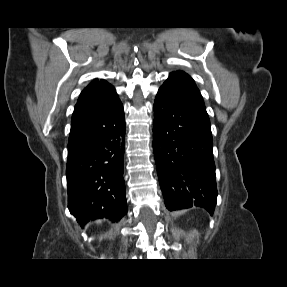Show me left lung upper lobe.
I'll return each mask as SVG.
<instances>
[{
    "label": "left lung upper lobe",
    "mask_w": 287,
    "mask_h": 287,
    "mask_svg": "<svg viewBox=\"0 0 287 287\" xmlns=\"http://www.w3.org/2000/svg\"><path fill=\"white\" fill-rule=\"evenodd\" d=\"M163 85L169 86L184 103L209 118L200 91L188 74L180 70L171 72Z\"/></svg>",
    "instance_id": "5c2ea615"
}]
</instances>
